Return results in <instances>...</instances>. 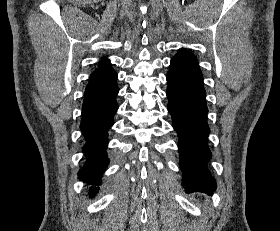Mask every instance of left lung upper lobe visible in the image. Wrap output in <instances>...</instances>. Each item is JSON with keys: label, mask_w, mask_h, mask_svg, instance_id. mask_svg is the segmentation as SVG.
<instances>
[{"label": "left lung upper lobe", "mask_w": 280, "mask_h": 231, "mask_svg": "<svg viewBox=\"0 0 280 231\" xmlns=\"http://www.w3.org/2000/svg\"><path fill=\"white\" fill-rule=\"evenodd\" d=\"M170 69H178L181 71H200L196 57L187 52L186 49H180L173 57Z\"/></svg>", "instance_id": "obj_1"}]
</instances>
